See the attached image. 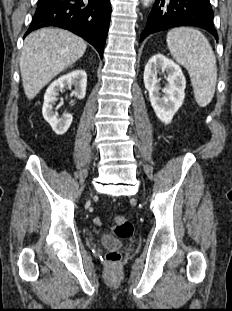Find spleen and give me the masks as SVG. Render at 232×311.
<instances>
[{
	"label": "spleen",
	"mask_w": 232,
	"mask_h": 311,
	"mask_svg": "<svg viewBox=\"0 0 232 311\" xmlns=\"http://www.w3.org/2000/svg\"><path fill=\"white\" fill-rule=\"evenodd\" d=\"M167 45L173 58L188 70L196 102L207 106L217 81L216 58L209 41L197 29L179 27L168 32Z\"/></svg>",
	"instance_id": "obj_1"
}]
</instances>
